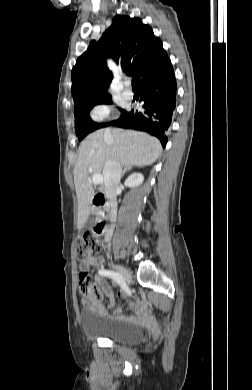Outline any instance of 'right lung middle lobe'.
<instances>
[{"label": "right lung middle lobe", "mask_w": 252, "mask_h": 390, "mask_svg": "<svg viewBox=\"0 0 252 390\" xmlns=\"http://www.w3.org/2000/svg\"><path fill=\"white\" fill-rule=\"evenodd\" d=\"M112 103L111 96L88 102L74 109L75 116V131L79 140H82L87 134L93 132L96 129L106 127L108 124H98L91 120L89 116L90 109L97 104H110ZM121 114L125 111L120 109Z\"/></svg>", "instance_id": "right-lung-middle-lobe-1"}]
</instances>
